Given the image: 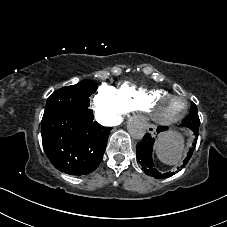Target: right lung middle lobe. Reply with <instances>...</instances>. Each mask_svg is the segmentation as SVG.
I'll return each instance as SVG.
<instances>
[{
  "label": "right lung middle lobe",
  "mask_w": 227,
  "mask_h": 227,
  "mask_svg": "<svg viewBox=\"0 0 227 227\" xmlns=\"http://www.w3.org/2000/svg\"><path fill=\"white\" fill-rule=\"evenodd\" d=\"M96 90L97 85L88 79L56 90L47 99L42 119L66 110L88 109L89 96Z\"/></svg>",
  "instance_id": "1"
}]
</instances>
